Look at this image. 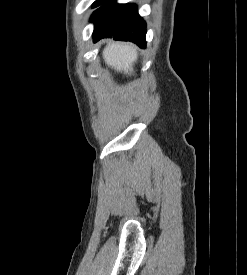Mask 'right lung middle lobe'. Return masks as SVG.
Returning <instances> with one entry per match:
<instances>
[{
  "label": "right lung middle lobe",
  "mask_w": 247,
  "mask_h": 275,
  "mask_svg": "<svg viewBox=\"0 0 247 275\" xmlns=\"http://www.w3.org/2000/svg\"><path fill=\"white\" fill-rule=\"evenodd\" d=\"M108 0H97L95 3H94V7H97L101 4H104L106 3Z\"/></svg>",
  "instance_id": "dd1d6c3e"
}]
</instances>
